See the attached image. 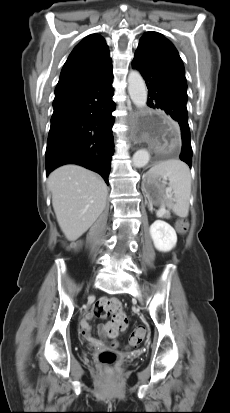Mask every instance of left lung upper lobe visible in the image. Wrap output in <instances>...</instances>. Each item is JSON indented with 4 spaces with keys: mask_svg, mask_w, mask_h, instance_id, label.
<instances>
[{
    "mask_svg": "<svg viewBox=\"0 0 230 413\" xmlns=\"http://www.w3.org/2000/svg\"><path fill=\"white\" fill-rule=\"evenodd\" d=\"M135 55L142 56L170 75L183 89L187 90L185 70L174 45L158 32H147L140 39Z\"/></svg>",
    "mask_w": 230,
    "mask_h": 413,
    "instance_id": "obj_1",
    "label": "left lung upper lobe"
}]
</instances>
